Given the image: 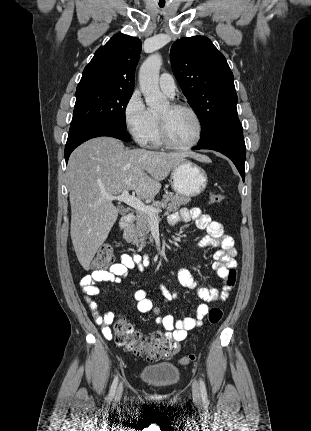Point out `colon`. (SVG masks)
Wrapping results in <instances>:
<instances>
[{
  "instance_id": "5ec220e1",
  "label": "colon",
  "mask_w": 311,
  "mask_h": 431,
  "mask_svg": "<svg viewBox=\"0 0 311 431\" xmlns=\"http://www.w3.org/2000/svg\"><path fill=\"white\" fill-rule=\"evenodd\" d=\"M224 197L219 193H211L209 201L212 204H218L223 201ZM114 250L111 244H103L96 253L92 268L95 270H103L107 268L113 261ZM237 272L234 267L230 268L227 273L226 287L231 289L236 282ZM223 316V312L219 307H212L208 311V321L211 325L218 324ZM112 330L115 336L116 343L125 350L135 354L144 355L148 361H157L164 358H169L175 355L179 346L172 339L159 335L147 339L146 336L135 331L133 327L122 318L112 316ZM195 355L190 354L180 359V364L187 365L195 360Z\"/></svg>"
}]
</instances>
